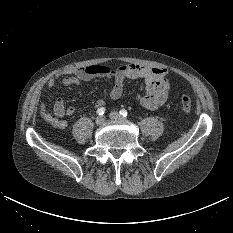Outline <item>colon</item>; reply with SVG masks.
<instances>
[{
    "instance_id": "5ec220e1",
    "label": "colon",
    "mask_w": 233,
    "mask_h": 233,
    "mask_svg": "<svg viewBox=\"0 0 233 233\" xmlns=\"http://www.w3.org/2000/svg\"><path fill=\"white\" fill-rule=\"evenodd\" d=\"M180 104L183 109V111L187 114H189L192 110V102L191 99L188 96L183 95L180 98Z\"/></svg>"
}]
</instances>
